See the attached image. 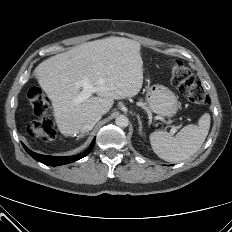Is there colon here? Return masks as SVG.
Instances as JSON below:
<instances>
[{
    "instance_id": "colon-1",
    "label": "colon",
    "mask_w": 232,
    "mask_h": 232,
    "mask_svg": "<svg viewBox=\"0 0 232 232\" xmlns=\"http://www.w3.org/2000/svg\"><path fill=\"white\" fill-rule=\"evenodd\" d=\"M170 71L172 85L181 93L186 94L190 102L194 104H206L209 102V97L202 84L183 62L172 61ZM27 98L35 114L39 116H43L50 107L48 97L39 87L30 88ZM27 134L42 141H51L56 136L54 124L48 117L31 121L27 127Z\"/></svg>"
}]
</instances>
